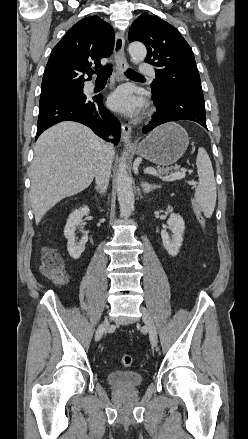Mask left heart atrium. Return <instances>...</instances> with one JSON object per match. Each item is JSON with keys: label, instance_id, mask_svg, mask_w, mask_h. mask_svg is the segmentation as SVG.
I'll return each instance as SVG.
<instances>
[{"label": "left heart atrium", "instance_id": "39dd6f15", "mask_svg": "<svg viewBox=\"0 0 248 439\" xmlns=\"http://www.w3.org/2000/svg\"><path fill=\"white\" fill-rule=\"evenodd\" d=\"M107 103L112 110L129 116L137 114L142 107V101L133 95L129 87L115 90L108 97Z\"/></svg>", "mask_w": 248, "mask_h": 439}]
</instances>
